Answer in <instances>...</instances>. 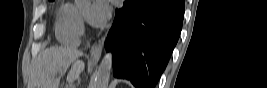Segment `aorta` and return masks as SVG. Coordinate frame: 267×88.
<instances>
[{
  "label": "aorta",
  "mask_w": 267,
  "mask_h": 88,
  "mask_svg": "<svg viewBox=\"0 0 267 88\" xmlns=\"http://www.w3.org/2000/svg\"><path fill=\"white\" fill-rule=\"evenodd\" d=\"M78 5L88 4L90 0H75ZM112 67V54L106 53L100 62L94 81L90 88H107Z\"/></svg>",
  "instance_id": "aorta-1"
}]
</instances>
